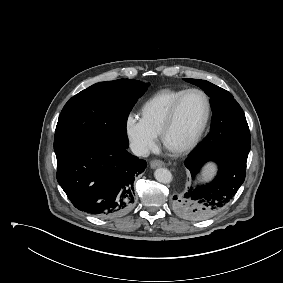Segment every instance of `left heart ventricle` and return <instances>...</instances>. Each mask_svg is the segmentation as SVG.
Segmentation results:
<instances>
[{
  "mask_svg": "<svg viewBox=\"0 0 283 283\" xmlns=\"http://www.w3.org/2000/svg\"><path fill=\"white\" fill-rule=\"evenodd\" d=\"M205 113V100L200 94L191 93L186 96L166 136V145L171 149H176L190 142L198 132Z\"/></svg>",
  "mask_w": 283,
  "mask_h": 283,
  "instance_id": "obj_1",
  "label": "left heart ventricle"
}]
</instances>
